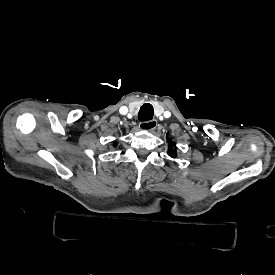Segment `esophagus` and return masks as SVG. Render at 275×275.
<instances>
[{"label": "esophagus", "instance_id": "34e87169", "mask_svg": "<svg viewBox=\"0 0 275 275\" xmlns=\"http://www.w3.org/2000/svg\"><path fill=\"white\" fill-rule=\"evenodd\" d=\"M157 127V120L156 119H152L149 121H144L140 123V128L142 130H153Z\"/></svg>", "mask_w": 275, "mask_h": 275}]
</instances>
